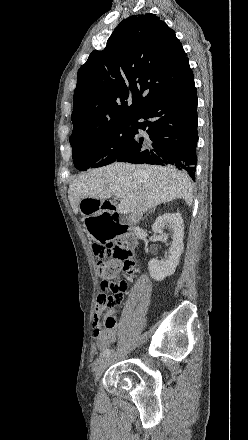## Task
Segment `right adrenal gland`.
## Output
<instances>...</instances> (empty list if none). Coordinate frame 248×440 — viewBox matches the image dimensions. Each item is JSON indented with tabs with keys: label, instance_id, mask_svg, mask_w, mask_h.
<instances>
[{
	"label": "right adrenal gland",
	"instance_id": "2a0ac1e0",
	"mask_svg": "<svg viewBox=\"0 0 248 440\" xmlns=\"http://www.w3.org/2000/svg\"><path fill=\"white\" fill-rule=\"evenodd\" d=\"M155 210V208L153 209V210H151L147 215H149L152 211H154Z\"/></svg>",
	"mask_w": 248,
	"mask_h": 440
}]
</instances>
